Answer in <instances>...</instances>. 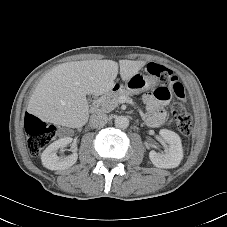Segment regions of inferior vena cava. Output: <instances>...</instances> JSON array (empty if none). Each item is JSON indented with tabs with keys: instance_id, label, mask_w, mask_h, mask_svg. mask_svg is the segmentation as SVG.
I'll use <instances>...</instances> for the list:
<instances>
[{
	"instance_id": "602c4592",
	"label": "inferior vena cava",
	"mask_w": 227,
	"mask_h": 227,
	"mask_svg": "<svg viewBox=\"0 0 227 227\" xmlns=\"http://www.w3.org/2000/svg\"><path fill=\"white\" fill-rule=\"evenodd\" d=\"M108 117L105 113L98 112L90 117V126L93 128L103 127L107 123Z\"/></svg>"
}]
</instances>
